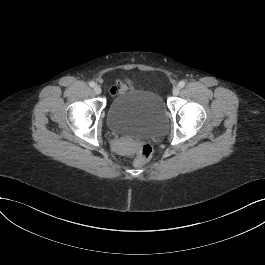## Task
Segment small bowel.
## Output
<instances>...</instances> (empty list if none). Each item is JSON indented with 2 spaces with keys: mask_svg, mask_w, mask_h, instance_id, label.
<instances>
[{
  "mask_svg": "<svg viewBox=\"0 0 265 265\" xmlns=\"http://www.w3.org/2000/svg\"><path fill=\"white\" fill-rule=\"evenodd\" d=\"M127 86H128V84L123 83V82L117 83V85H115L111 88V93H113V94L121 93L127 89Z\"/></svg>",
  "mask_w": 265,
  "mask_h": 265,
  "instance_id": "small-bowel-1",
  "label": "small bowel"
}]
</instances>
